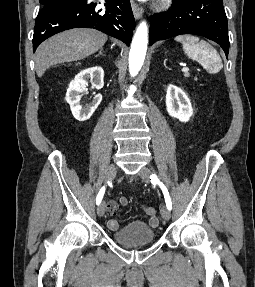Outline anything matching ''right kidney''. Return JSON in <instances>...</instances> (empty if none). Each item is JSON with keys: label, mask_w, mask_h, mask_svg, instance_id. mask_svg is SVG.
<instances>
[{"label": "right kidney", "mask_w": 255, "mask_h": 287, "mask_svg": "<svg viewBox=\"0 0 255 287\" xmlns=\"http://www.w3.org/2000/svg\"><path fill=\"white\" fill-rule=\"evenodd\" d=\"M88 82H91L92 86L96 90H101L104 86V72L100 66H95V68H86L79 72L75 76L74 80L70 82L69 88L66 92V102L70 106V110L79 122H85L89 120L96 108H98L100 102H102L101 94H96L94 96L93 102L91 104H86V106H80V94L85 92Z\"/></svg>", "instance_id": "obj_1"}]
</instances>
